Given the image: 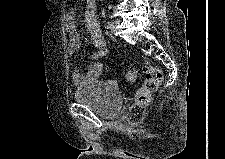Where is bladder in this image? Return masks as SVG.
Here are the masks:
<instances>
[{
  "label": "bladder",
  "instance_id": "obj_1",
  "mask_svg": "<svg viewBox=\"0 0 225 159\" xmlns=\"http://www.w3.org/2000/svg\"><path fill=\"white\" fill-rule=\"evenodd\" d=\"M73 97L78 104L89 107L105 119L117 118L123 105V98L118 88L101 80H94L77 87Z\"/></svg>",
  "mask_w": 225,
  "mask_h": 159
}]
</instances>
